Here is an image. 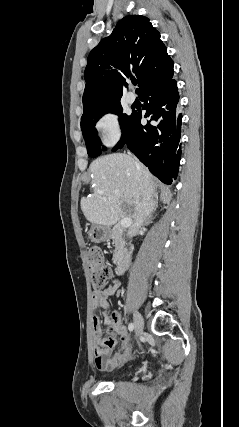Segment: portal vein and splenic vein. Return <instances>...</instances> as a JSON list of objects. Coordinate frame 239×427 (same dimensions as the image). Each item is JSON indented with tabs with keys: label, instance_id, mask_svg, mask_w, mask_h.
I'll return each mask as SVG.
<instances>
[{
	"label": "portal vein and splenic vein",
	"instance_id": "1",
	"mask_svg": "<svg viewBox=\"0 0 239 427\" xmlns=\"http://www.w3.org/2000/svg\"><path fill=\"white\" fill-rule=\"evenodd\" d=\"M131 224H132V219L128 217L122 218L120 221V225L122 227H129Z\"/></svg>",
	"mask_w": 239,
	"mask_h": 427
}]
</instances>
